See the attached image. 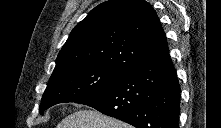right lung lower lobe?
<instances>
[{"label": "right lung lower lobe", "mask_w": 221, "mask_h": 128, "mask_svg": "<svg viewBox=\"0 0 221 128\" xmlns=\"http://www.w3.org/2000/svg\"><path fill=\"white\" fill-rule=\"evenodd\" d=\"M180 85L168 51L139 63L77 103L136 128H179Z\"/></svg>", "instance_id": "obj_1"}]
</instances>
